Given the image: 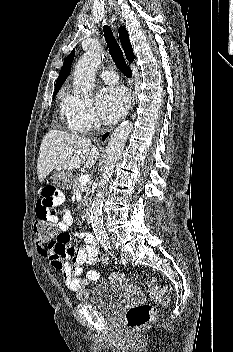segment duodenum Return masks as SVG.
Masks as SVG:
<instances>
[{
	"instance_id": "duodenum-1",
	"label": "duodenum",
	"mask_w": 233,
	"mask_h": 352,
	"mask_svg": "<svg viewBox=\"0 0 233 352\" xmlns=\"http://www.w3.org/2000/svg\"><path fill=\"white\" fill-rule=\"evenodd\" d=\"M84 218L88 223H90L92 221L91 211L89 208H86L84 210Z\"/></svg>"
}]
</instances>
